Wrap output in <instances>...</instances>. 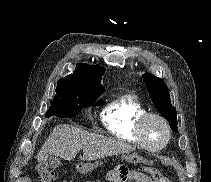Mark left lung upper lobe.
I'll use <instances>...</instances> for the list:
<instances>
[{
  "label": "left lung upper lobe",
  "mask_w": 211,
  "mask_h": 182,
  "mask_svg": "<svg viewBox=\"0 0 211 182\" xmlns=\"http://www.w3.org/2000/svg\"><path fill=\"white\" fill-rule=\"evenodd\" d=\"M143 80L156 109L169 122L171 129L177 132V111L170 102L169 90L166 83L150 73L143 74Z\"/></svg>",
  "instance_id": "obj_1"
}]
</instances>
